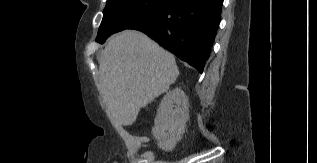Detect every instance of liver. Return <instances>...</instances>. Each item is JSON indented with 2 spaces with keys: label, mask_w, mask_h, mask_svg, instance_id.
<instances>
[{
  "label": "liver",
  "mask_w": 317,
  "mask_h": 163,
  "mask_svg": "<svg viewBox=\"0 0 317 163\" xmlns=\"http://www.w3.org/2000/svg\"><path fill=\"white\" fill-rule=\"evenodd\" d=\"M178 75L174 56L145 34L124 30L112 36L99 59L97 85L111 123L132 125Z\"/></svg>",
  "instance_id": "liver-1"
}]
</instances>
